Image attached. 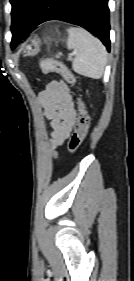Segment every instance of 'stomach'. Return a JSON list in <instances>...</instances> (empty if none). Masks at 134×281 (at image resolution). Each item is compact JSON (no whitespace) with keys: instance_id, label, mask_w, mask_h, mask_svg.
Segmentation results:
<instances>
[{"instance_id":"stomach-1","label":"stomach","mask_w":134,"mask_h":281,"mask_svg":"<svg viewBox=\"0 0 134 281\" xmlns=\"http://www.w3.org/2000/svg\"><path fill=\"white\" fill-rule=\"evenodd\" d=\"M40 51V43L37 39H33L30 44L26 46V55L34 56Z\"/></svg>"}]
</instances>
